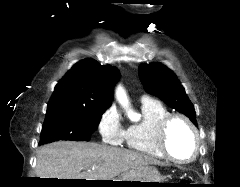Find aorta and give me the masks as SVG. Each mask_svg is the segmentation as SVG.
<instances>
[{
    "label": "aorta",
    "instance_id": "obj_1",
    "mask_svg": "<svg viewBox=\"0 0 240 187\" xmlns=\"http://www.w3.org/2000/svg\"><path fill=\"white\" fill-rule=\"evenodd\" d=\"M116 96H117V99L119 101L120 104L126 106L127 105V97H126V94L124 92V90L119 87L116 91Z\"/></svg>",
    "mask_w": 240,
    "mask_h": 187
}]
</instances>
